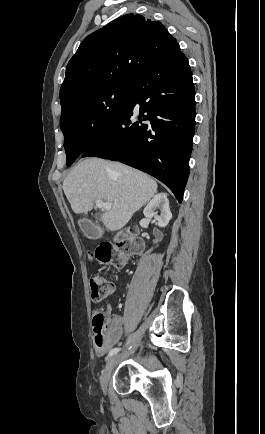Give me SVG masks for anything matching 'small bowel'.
<instances>
[{"label":"small bowel","mask_w":265,"mask_h":434,"mask_svg":"<svg viewBox=\"0 0 265 434\" xmlns=\"http://www.w3.org/2000/svg\"><path fill=\"white\" fill-rule=\"evenodd\" d=\"M105 313L108 315L107 329L102 348L95 349L98 356L104 355L108 350L112 349L120 342L125 325V318L118 314H112V308L110 306L106 307ZM100 346L95 347L99 348Z\"/></svg>","instance_id":"c3829d8e"}]
</instances>
